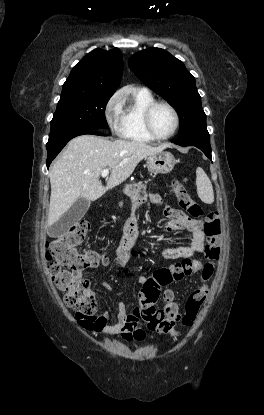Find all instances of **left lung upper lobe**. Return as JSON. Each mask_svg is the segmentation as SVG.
Segmentation results:
<instances>
[{
	"instance_id": "5c2ea615",
	"label": "left lung upper lobe",
	"mask_w": 264,
	"mask_h": 415,
	"mask_svg": "<svg viewBox=\"0 0 264 415\" xmlns=\"http://www.w3.org/2000/svg\"><path fill=\"white\" fill-rule=\"evenodd\" d=\"M129 66L141 81L176 109L180 118L178 137L207 130L195 78L182 61L163 49L149 48L131 56Z\"/></svg>"
}]
</instances>
